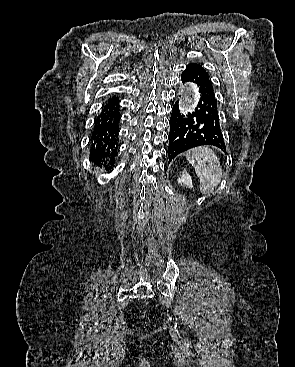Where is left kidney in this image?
Instances as JSON below:
<instances>
[{
  "label": "left kidney",
  "mask_w": 295,
  "mask_h": 367,
  "mask_svg": "<svg viewBox=\"0 0 295 367\" xmlns=\"http://www.w3.org/2000/svg\"><path fill=\"white\" fill-rule=\"evenodd\" d=\"M178 183L181 185H185L188 188H192V178L187 172H183L180 178L178 179Z\"/></svg>",
  "instance_id": "left-kidney-1"
}]
</instances>
